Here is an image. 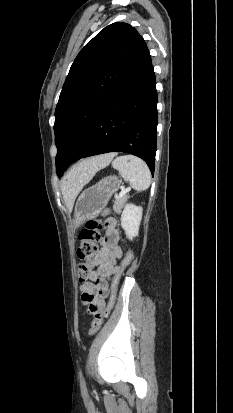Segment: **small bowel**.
I'll return each mask as SVG.
<instances>
[{
    "instance_id": "c3829d8e",
    "label": "small bowel",
    "mask_w": 233,
    "mask_h": 413,
    "mask_svg": "<svg viewBox=\"0 0 233 413\" xmlns=\"http://www.w3.org/2000/svg\"><path fill=\"white\" fill-rule=\"evenodd\" d=\"M120 233L116 227V221L109 219L106 223V234L98 254L94 260L97 269L92 277L81 285L82 295L80 302L92 308H99L105 305L108 297L109 284L115 282L119 274L120 266L117 261L123 257L124 250L120 246ZM88 309L90 313L94 311Z\"/></svg>"
}]
</instances>
